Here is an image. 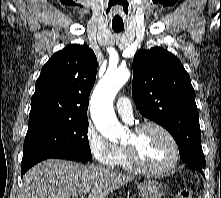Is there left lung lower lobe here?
Masks as SVG:
<instances>
[{"instance_id":"0a47b994","label":"left lung lower lobe","mask_w":221,"mask_h":198,"mask_svg":"<svg viewBox=\"0 0 221 198\" xmlns=\"http://www.w3.org/2000/svg\"><path fill=\"white\" fill-rule=\"evenodd\" d=\"M190 168H193V169H196V170H198L199 172H201L202 174H203V171H202V169L201 168H198V167H196V166H190V165H188Z\"/></svg>"}]
</instances>
